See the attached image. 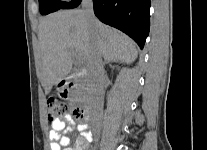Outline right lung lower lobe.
<instances>
[{"label":"right lung lower lobe","instance_id":"obj_1","mask_svg":"<svg viewBox=\"0 0 207 150\" xmlns=\"http://www.w3.org/2000/svg\"><path fill=\"white\" fill-rule=\"evenodd\" d=\"M81 0L65 3L61 9L77 7ZM100 21L128 34L142 49L150 27V0H93Z\"/></svg>","mask_w":207,"mask_h":150}]
</instances>
